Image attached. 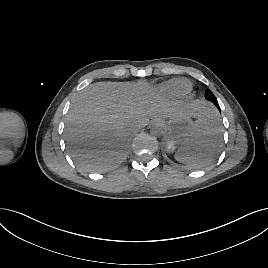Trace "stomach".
Returning a JSON list of instances; mask_svg holds the SVG:
<instances>
[{"mask_svg":"<svg viewBox=\"0 0 268 268\" xmlns=\"http://www.w3.org/2000/svg\"><path fill=\"white\" fill-rule=\"evenodd\" d=\"M156 124L163 129L171 148L182 147L191 137L195 126L187 114L177 115L170 119H160L156 121Z\"/></svg>","mask_w":268,"mask_h":268,"instance_id":"1","label":"stomach"}]
</instances>
